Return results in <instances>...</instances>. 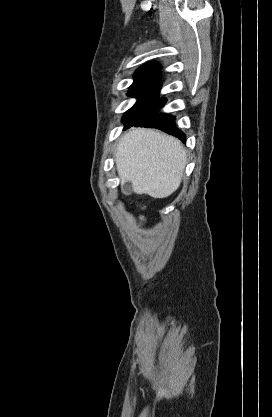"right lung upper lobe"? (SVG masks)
<instances>
[{"instance_id":"obj_1","label":"right lung upper lobe","mask_w":272,"mask_h":417,"mask_svg":"<svg viewBox=\"0 0 272 417\" xmlns=\"http://www.w3.org/2000/svg\"><path fill=\"white\" fill-rule=\"evenodd\" d=\"M159 70L160 66L155 63L146 64L137 69L130 91L159 89L162 85Z\"/></svg>"}]
</instances>
